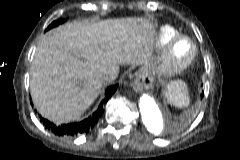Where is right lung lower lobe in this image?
Masks as SVG:
<instances>
[{
  "label": "right lung lower lobe",
  "mask_w": 240,
  "mask_h": 160,
  "mask_svg": "<svg viewBox=\"0 0 240 160\" xmlns=\"http://www.w3.org/2000/svg\"><path fill=\"white\" fill-rule=\"evenodd\" d=\"M116 89L117 85L108 87L106 90L105 97L98 106V109L91 116H89L87 119L83 121L64 125H56L53 122H50L39 115L40 121L47 129L51 130L55 135L58 136H77L80 134L87 133L98 122L103 111V104H105L108 101V99L116 91Z\"/></svg>",
  "instance_id": "98d812e1"
}]
</instances>
